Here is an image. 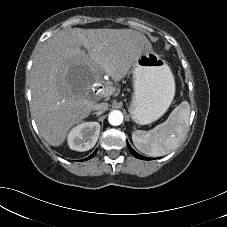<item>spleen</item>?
Returning a JSON list of instances; mask_svg holds the SVG:
<instances>
[{"label":"spleen","instance_id":"obj_1","mask_svg":"<svg viewBox=\"0 0 227 227\" xmlns=\"http://www.w3.org/2000/svg\"><path fill=\"white\" fill-rule=\"evenodd\" d=\"M190 105L187 101L180 103L164 123L149 131L135 130L132 140L142 153L159 157L176 149L188 131Z\"/></svg>","mask_w":227,"mask_h":227}]
</instances>
